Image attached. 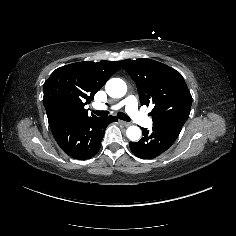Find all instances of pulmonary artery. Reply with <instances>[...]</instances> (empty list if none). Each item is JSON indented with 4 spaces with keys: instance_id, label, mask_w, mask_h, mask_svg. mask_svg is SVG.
Returning <instances> with one entry per match:
<instances>
[{
    "instance_id": "pulmonary-artery-1",
    "label": "pulmonary artery",
    "mask_w": 236,
    "mask_h": 236,
    "mask_svg": "<svg viewBox=\"0 0 236 236\" xmlns=\"http://www.w3.org/2000/svg\"><path fill=\"white\" fill-rule=\"evenodd\" d=\"M138 101L134 97H128L113 107L116 109L125 107L126 112L135 120L138 125H142L144 127H149L152 125L153 120L151 117L146 116L140 109H137Z\"/></svg>"
}]
</instances>
